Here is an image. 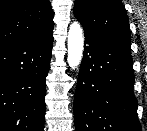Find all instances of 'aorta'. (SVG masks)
Instances as JSON below:
<instances>
[{"label": "aorta", "instance_id": "762f6f07", "mask_svg": "<svg viewBox=\"0 0 147 131\" xmlns=\"http://www.w3.org/2000/svg\"><path fill=\"white\" fill-rule=\"evenodd\" d=\"M67 46V62L72 69H75L82 60L84 48L83 29L77 22L72 23L69 27Z\"/></svg>", "mask_w": 147, "mask_h": 131}]
</instances>
